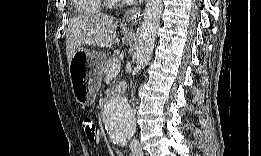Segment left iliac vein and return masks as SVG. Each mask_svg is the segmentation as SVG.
<instances>
[{
	"instance_id": "1",
	"label": "left iliac vein",
	"mask_w": 261,
	"mask_h": 156,
	"mask_svg": "<svg viewBox=\"0 0 261 156\" xmlns=\"http://www.w3.org/2000/svg\"><path fill=\"white\" fill-rule=\"evenodd\" d=\"M130 149H131L133 155H136V156H142L143 155V151L141 149V146L137 142L131 143Z\"/></svg>"
}]
</instances>
